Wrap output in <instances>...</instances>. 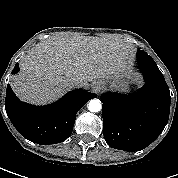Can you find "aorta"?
<instances>
[{"label": "aorta", "mask_w": 178, "mask_h": 178, "mask_svg": "<svg viewBox=\"0 0 178 178\" xmlns=\"http://www.w3.org/2000/svg\"><path fill=\"white\" fill-rule=\"evenodd\" d=\"M102 108L101 101L99 99H93L88 104V109L91 112H99Z\"/></svg>", "instance_id": "762f6f07"}]
</instances>
